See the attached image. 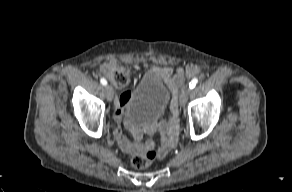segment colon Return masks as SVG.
<instances>
[{"instance_id": "obj_1", "label": "colon", "mask_w": 292, "mask_h": 192, "mask_svg": "<svg viewBox=\"0 0 292 192\" xmlns=\"http://www.w3.org/2000/svg\"><path fill=\"white\" fill-rule=\"evenodd\" d=\"M101 70L117 88L126 87L130 81L129 70L122 65L108 64L102 66ZM156 156L155 150L149 151L146 154L133 156L131 163L136 169H143L148 167Z\"/></svg>"}]
</instances>
